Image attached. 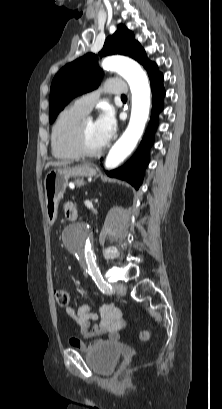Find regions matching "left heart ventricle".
<instances>
[{
  "instance_id": "b2bd125f",
  "label": "left heart ventricle",
  "mask_w": 222,
  "mask_h": 409,
  "mask_svg": "<svg viewBox=\"0 0 222 409\" xmlns=\"http://www.w3.org/2000/svg\"><path fill=\"white\" fill-rule=\"evenodd\" d=\"M84 141L89 150H97L102 147L95 122L92 119L86 122Z\"/></svg>"
}]
</instances>
